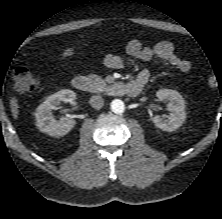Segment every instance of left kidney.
<instances>
[{"label":"left kidney","mask_w":222,"mask_h":219,"mask_svg":"<svg viewBox=\"0 0 222 219\" xmlns=\"http://www.w3.org/2000/svg\"><path fill=\"white\" fill-rule=\"evenodd\" d=\"M156 96L161 101H168L167 109L170 111V116L164 119L157 115L153 118V123L164 131H175L186 119L184 98L179 92L171 89H160L156 92Z\"/></svg>","instance_id":"1"}]
</instances>
